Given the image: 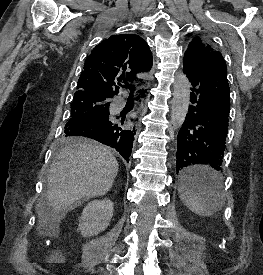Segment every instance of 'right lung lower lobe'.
I'll return each instance as SVG.
<instances>
[{"mask_svg":"<svg viewBox=\"0 0 263 275\" xmlns=\"http://www.w3.org/2000/svg\"><path fill=\"white\" fill-rule=\"evenodd\" d=\"M139 92L141 97H144L146 90ZM127 121H133V119L125 115L90 116L65 127L64 133L69 136H83L99 141L116 149L129 162L135 129L123 128L122 125Z\"/></svg>","mask_w":263,"mask_h":275,"instance_id":"right-lung-lower-lobe-1","label":"right lung lower lobe"}]
</instances>
